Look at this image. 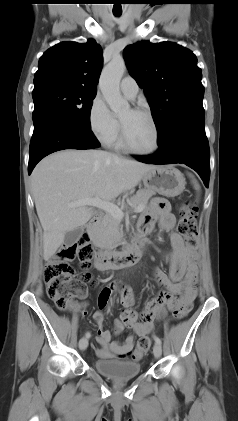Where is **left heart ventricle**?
Listing matches in <instances>:
<instances>
[{"instance_id": "b2bd125f", "label": "left heart ventricle", "mask_w": 238, "mask_h": 421, "mask_svg": "<svg viewBox=\"0 0 238 421\" xmlns=\"http://www.w3.org/2000/svg\"><path fill=\"white\" fill-rule=\"evenodd\" d=\"M119 119L124 125L128 141L134 148L141 151L153 148L155 133L148 117L132 109H126L120 114Z\"/></svg>"}]
</instances>
